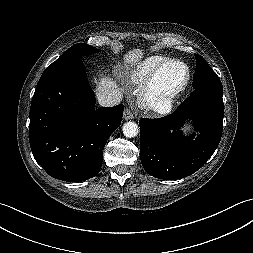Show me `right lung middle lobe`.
<instances>
[{"instance_id":"right-lung-middle-lobe-1","label":"right lung middle lobe","mask_w":253,"mask_h":253,"mask_svg":"<svg viewBox=\"0 0 253 253\" xmlns=\"http://www.w3.org/2000/svg\"><path fill=\"white\" fill-rule=\"evenodd\" d=\"M93 52H99V50L88 44L78 43L65 51L55 62H53L49 67H47L43 73L66 65L72 61L79 59L83 55L90 54Z\"/></svg>"}]
</instances>
